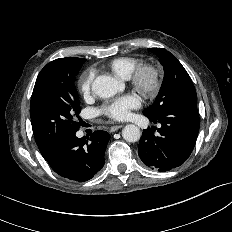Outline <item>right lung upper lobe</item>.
Wrapping results in <instances>:
<instances>
[{
    "label": "right lung upper lobe",
    "mask_w": 232,
    "mask_h": 232,
    "mask_svg": "<svg viewBox=\"0 0 232 232\" xmlns=\"http://www.w3.org/2000/svg\"><path fill=\"white\" fill-rule=\"evenodd\" d=\"M50 154H45L43 155L44 158H47Z\"/></svg>",
    "instance_id": "right-lung-upper-lobe-1"
}]
</instances>
